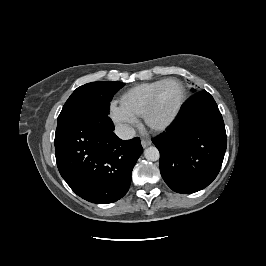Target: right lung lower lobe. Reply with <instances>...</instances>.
Segmentation results:
<instances>
[{"instance_id": "obj_1", "label": "right lung lower lobe", "mask_w": 266, "mask_h": 266, "mask_svg": "<svg viewBox=\"0 0 266 266\" xmlns=\"http://www.w3.org/2000/svg\"><path fill=\"white\" fill-rule=\"evenodd\" d=\"M114 124L97 110H86L55 135L58 170L81 198L108 204L122 198L143 148L139 138L119 139Z\"/></svg>"}]
</instances>
